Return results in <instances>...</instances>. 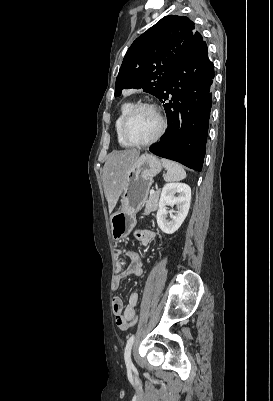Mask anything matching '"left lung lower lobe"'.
<instances>
[{
    "instance_id": "0a47b994",
    "label": "left lung lower lobe",
    "mask_w": 273,
    "mask_h": 401,
    "mask_svg": "<svg viewBox=\"0 0 273 401\" xmlns=\"http://www.w3.org/2000/svg\"><path fill=\"white\" fill-rule=\"evenodd\" d=\"M213 63L203 38L190 46L177 63L159 96L167 114L168 128L150 147L158 156L202 170L212 106ZM169 102H165L169 100Z\"/></svg>"
}]
</instances>
